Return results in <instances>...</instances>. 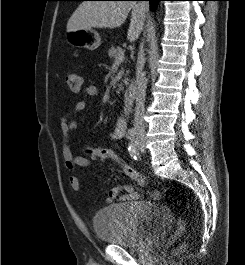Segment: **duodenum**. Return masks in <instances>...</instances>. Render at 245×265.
Wrapping results in <instances>:
<instances>
[{"label": "duodenum", "instance_id": "duodenum-1", "mask_svg": "<svg viewBox=\"0 0 245 265\" xmlns=\"http://www.w3.org/2000/svg\"><path fill=\"white\" fill-rule=\"evenodd\" d=\"M136 95H137V89H136L135 85H131L124 92V95H123L124 102L127 105H133L135 102V99H136Z\"/></svg>", "mask_w": 245, "mask_h": 265}]
</instances>
